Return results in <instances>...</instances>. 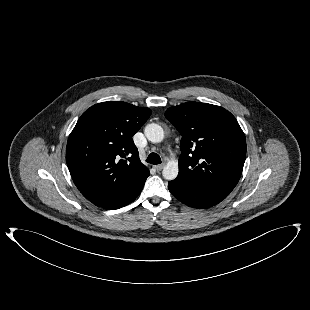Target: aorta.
<instances>
[{
    "mask_svg": "<svg viewBox=\"0 0 310 310\" xmlns=\"http://www.w3.org/2000/svg\"><path fill=\"white\" fill-rule=\"evenodd\" d=\"M144 134L146 138L152 143H159L164 139V130L159 124L156 123L146 125ZM178 172V163L174 160H171L164 166L162 175L167 180H174L177 177Z\"/></svg>",
    "mask_w": 310,
    "mask_h": 310,
    "instance_id": "1",
    "label": "aorta"
}]
</instances>
